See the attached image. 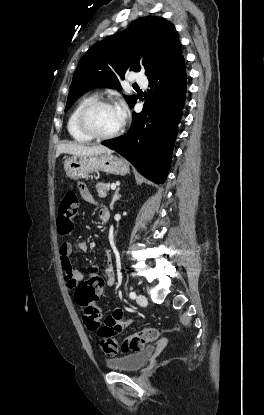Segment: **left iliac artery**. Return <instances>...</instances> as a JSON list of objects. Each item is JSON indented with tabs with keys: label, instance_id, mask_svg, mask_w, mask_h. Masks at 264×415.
<instances>
[{
	"label": "left iliac artery",
	"instance_id": "1",
	"mask_svg": "<svg viewBox=\"0 0 264 415\" xmlns=\"http://www.w3.org/2000/svg\"><path fill=\"white\" fill-rule=\"evenodd\" d=\"M131 299H135L136 298V293L134 291H131L129 294Z\"/></svg>",
	"mask_w": 264,
	"mask_h": 415
}]
</instances>
